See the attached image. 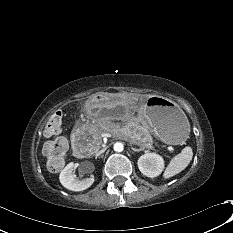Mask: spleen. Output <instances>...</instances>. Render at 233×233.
<instances>
[{
    "mask_svg": "<svg viewBox=\"0 0 233 233\" xmlns=\"http://www.w3.org/2000/svg\"><path fill=\"white\" fill-rule=\"evenodd\" d=\"M193 157V151L192 148L187 146L185 147L181 153H179L178 155H176L168 164V166L166 167L165 171H164V178H170L175 176L176 174L180 173L181 171H183L188 164L190 163V161L192 160Z\"/></svg>",
    "mask_w": 233,
    "mask_h": 233,
    "instance_id": "1",
    "label": "spleen"
}]
</instances>
